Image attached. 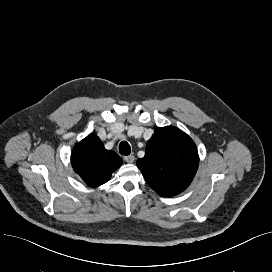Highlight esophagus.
Instances as JSON below:
<instances>
[{"mask_svg":"<svg viewBox=\"0 0 272 272\" xmlns=\"http://www.w3.org/2000/svg\"><path fill=\"white\" fill-rule=\"evenodd\" d=\"M124 160H125L127 163H133L134 160H135V157H134L133 155L125 156V157H124Z\"/></svg>","mask_w":272,"mask_h":272,"instance_id":"1","label":"esophagus"}]
</instances>
